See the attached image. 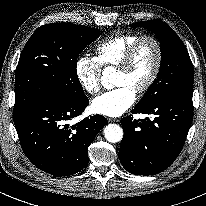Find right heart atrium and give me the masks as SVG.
<instances>
[{
    "mask_svg": "<svg viewBox=\"0 0 206 206\" xmlns=\"http://www.w3.org/2000/svg\"><path fill=\"white\" fill-rule=\"evenodd\" d=\"M76 79L89 95H96L101 88L102 67L97 58L82 56L75 65Z\"/></svg>",
    "mask_w": 206,
    "mask_h": 206,
    "instance_id": "1",
    "label": "right heart atrium"
}]
</instances>
